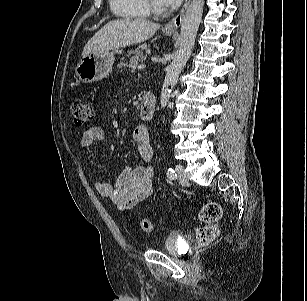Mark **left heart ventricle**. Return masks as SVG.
Instances as JSON below:
<instances>
[{"mask_svg":"<svg viewBox=\"0 0 307 301\" xmlns=\"http://www.w3.org/2000/svg\"><path fill=\"white\" fill-rule=\"evenodd\" d=\"M151 1H152V3H153L156 7H158L157 4H156V2H155V0H151Z\"/></svg>","mask_w":307,"mask_h":301,"instance_id":"b2bd125f","label":"left heart ventricle"}]
</instances>
